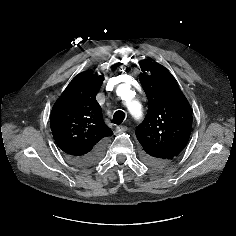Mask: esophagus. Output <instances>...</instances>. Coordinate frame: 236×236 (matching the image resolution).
<instances>
[{
  "instance_id": "esophagus-1",
  "label": "esophagus",
  "mask_w": 236,
  "mask_h": 236,
  "mask_svg": "<svg viewBox=\"0 0 236 236\" xmlns=\"http://www.w3.org/2000/svg\"><path fill=\"white\" fill-rule=\"evenodd\" d=\"M127 130V127L126 126H117L116 127V132L117 133H123V132H125Z\"/></svg>"
}]
</instances>
